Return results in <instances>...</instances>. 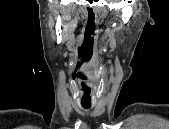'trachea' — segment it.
<instances>
[{"label": "trachea", "mask_w": 169, "mask_h": 129, "mask_svg": "<svg viewBox=\"0 0 169 129\" xmlns=\"http://www.w3.org/2000/svg\"><path fill=\"white\" fill-rule=\"evenodd\" d=\"M83 108H85V109H89V108H90V106H85V105H83Z\"/></svg>", "instance_id": "trachea-1"}]
</instances>
